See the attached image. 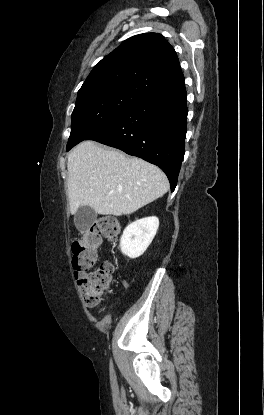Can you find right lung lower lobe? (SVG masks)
<instances>
[{
    "label": "right lung lower lobe",
    "instance_id": "98d812e1",
    "mask_svg": "<svg viewBox=\"0 0 264 415\" xmlns=\"http://www.w3.org/2000/svg\"><path fill=\"white\" fill-rule=\"evenodd\" d=\"M187 113L183 81L141 99L87 140L118 148L159 166L174 191L184 157Z\"/></svg>",
    "mask_w": 264,
    "mask_h": 415
}]
</instances>
